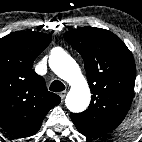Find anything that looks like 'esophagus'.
<instances>
[{"instance_id": "34e87169", "label": "esophagus", "mask_w": 142, "mask_h": 142, "mask_svg": "<svg viewBox=\"0 0 142 142\" xmlns=\"http://www.w3.org/2000/svg\"><path fill=\"white\" fill-rule=\"evenodd\" d=\"M66 93H67L66 91H62V92H60V94H59V96H60L62 102H63L64 99H65Z\"/></svg>"}]
</instances>
